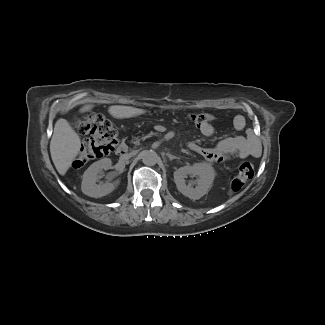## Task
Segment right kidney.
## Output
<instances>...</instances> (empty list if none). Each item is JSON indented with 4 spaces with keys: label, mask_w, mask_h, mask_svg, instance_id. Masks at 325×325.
Here are the masks:
<instances>
[{
    "label": "right kidney",
    "mask_w": 325,
    "mask_h": 325,
    "mask_svg": "<svg viewBox=\"0 0 325 325\" xmlns=\"http://www.w3.org/2000/svg\"><path fill=\"white\" fill-rule=\"evenodd\" d=\"M111 160L109 158H104L99 161L94 162L83 174V179L81 183L82 192L90 197L99 198L103 197L118 186L120 180H116L112 183L96 184L98 180L97 174L102 170H108L111 167Z\"/></svg>",
    "instance_id": "ca27d5eb"
}]
</instances>
